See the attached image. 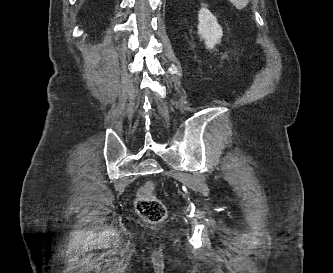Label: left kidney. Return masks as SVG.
<instances>
[{"mask_svg":"<svg viewBox=\"0 0 333 273\" xmlns=\"http://www.w3.org/2000/svg\"><path fill=\"white\" fill-rule=\"evenodd\" d=\"M198 34L205 41L207 49H213L220 43L223 31L218 24L216 17L205 7H202L198 14Z\"/></svg>","mask_w":333,"mask_h":273,"instance_id":"5707ae66","label":"left kidney"}]
</instances>
